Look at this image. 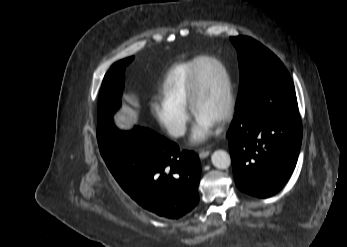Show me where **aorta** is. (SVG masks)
Instances as JSON below:
<instances>
[{
	"label": "aorta",
	"instance_id": "obj_1",
	"mask_svg": "<svg viewBox=\"0 0 347 247\" xmlns=\"http://www.w3.org/2000/svg\"><path fill=\"white\" fill-rule=\"evenodd\" d=\"M211 161L214 167L218 169H227L231 164L229 153L224 150H216L211 156Z\"/></svg>",
	"mask_w": 347,
	"mask_h": 247
}]
</instances>
